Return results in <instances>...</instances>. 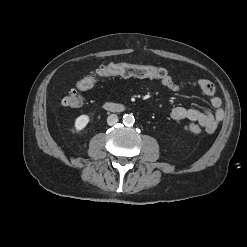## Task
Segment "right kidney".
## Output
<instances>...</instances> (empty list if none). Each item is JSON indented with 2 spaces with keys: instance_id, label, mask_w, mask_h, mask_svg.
I'll return each instance as SVG.
<instances>
[{
  "instance_id": "right-kidney-1",
  "label": "right kidney",
  "mask_w": 247,
  "mask_h": 247,
  "mask_svg": "<svg viewBox=\"0 0 247 247\" xmlns=\"http://www.w3.org/2000/svg\"><path fill=\"white\" fill-rule=\"evenodd\" d=\"M89 121H90V118L88 115H80L79 117H77L75 120L76 132H80L81 130H83L87 126Z\"/></svg>"
}]
</instances>
